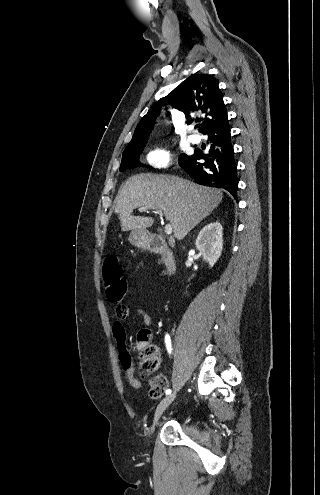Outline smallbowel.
Here are the masks:
<instances>
[{
	"mask_svg": "<svg viewBox=\"0 0 320 495\" xmlns=\"http://www.w3.org/2000/svg\"><path fill=\"white\" fill-rule=\"evenodd\" d=\"M131 309L128 306H125L122 308V310L117 311L116 310V319L113 322L112 325V331L114 334V337L116 338L118 342V346L121 352V357H122V362L126 370V378L129 382V384L135 388L139 389L141 388V382L135 378L134 376V367L132 366L131 363V357L128 355V353L125 351V329L122 324V320L126 319L128 316L131 314ZM136 314L140 316L146 326H149L152 323V318L151 316L144 310V309H137ZM124 358H130V361L126 363L124 361Z\"/></svg>",
	"mask_w": 320,
	"mask_h": 495,
	"instance_id": "1",
	"label": "small bowel"
}]
</instances>
